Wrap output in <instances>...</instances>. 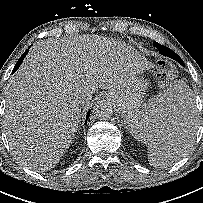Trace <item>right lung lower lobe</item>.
Instances as JSON below:
<instances>
[{
  "label": "right lung lower lobe",
  "mask_w": 203,
  "mask_h": 203,
  "mask_svg": "<svg viewBox=\"0 0 203 203\" xmlns=\"http://www.w3.org/2000/svg\"><path fill=\"white\" fill-rule=\"evenodd\" d=\"M28 52H29V49H27V50L22 54V56L19 58V60H18V62H17V64H16V66L14 67L13 72H15V71L18 69V67L21 65L23 59L25 58V56L27 55ZM89 115H90V111L87 113V116H86V123H87V120H88Z\"/></svg>",
  "instance_id": "1"
}]
</instances>
